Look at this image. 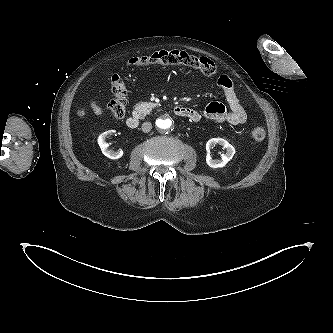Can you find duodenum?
<instances>
[{"instance_id":"duodenum-1","label":"duodenum","mask_w":333,"mask_h":333,"mask_svg":"<svg viewBox=\"0 0 333 333\" xmlns=\"http://www.w3.org/2000/svg\"><path fill=\"white\" fill-rule=\"evenodd\" d=\"M174 113L178 116H183L185 114V108L182 106H176L174 108ZM126 124L129 128L135 129L139 125V117L137 115H131L127 118Z\"/></svg>"}]
</instances>
